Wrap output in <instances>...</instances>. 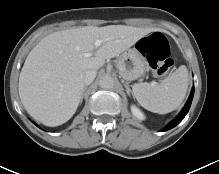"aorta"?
<instances>
[{
	"label": "aorta",
	"mask_w": 219,
	"mask_h": 174,
	"mask_svg": "<svg viewBox=\"0 0 219 174\" xmlns=\"http://www.w3.org/2000/svg\"><path fill=\"white\" fill-rule=\"evenodd\" d=\"M99 85L103 89H111L114 87V80L110 76H104L100 79Z\"/></svg>",
	"instance_id": "762f6f07"
}]
</instances>
